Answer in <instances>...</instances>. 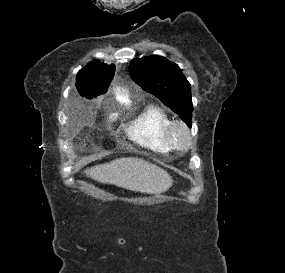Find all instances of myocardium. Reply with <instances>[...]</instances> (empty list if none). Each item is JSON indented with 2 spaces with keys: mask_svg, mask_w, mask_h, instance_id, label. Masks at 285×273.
<instances>
[{
  "mask_svg": "<svg viewBox=\"0 0 285 273\" xmlns=\"http://www.w3.org/2000/svg\"><path fill=\"white\" fill-rule=\"evenodd\" d=\"M167 140L178 151L189 150L194 142L189 126L182 121H173L167 129Z\"/></svg>",
  "mask_w": 285,
  "mask_h": 273,
  "instance_id": "myocardium-1",
  "label": "myocardium"
}]
</instances>
